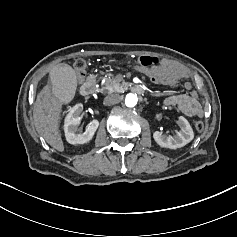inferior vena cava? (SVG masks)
<instances>
[{"mask_svg": "<svg viewBox=\"0 0 237 237\" xmlns=\"http://www.w3.org/2000/svg\"><path fill=\"white\" fill-rule=\"evenodd\" d=\"M120 100H121V98H120L119 94H110L104 98V104L105 105H114V104L119 103Z\"/></svg>", "mask_w": 237, "mask_h": 237, "instance_id": "602c4592", "label": "inferior vena cava"}]
</instances>
